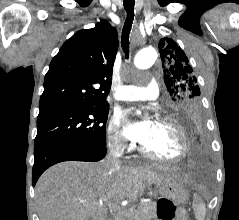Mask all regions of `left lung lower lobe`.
<instances>
[{
	"label": "left lung lower lobe",
	"mask_w": 239,
	"mask_h": 220,
	"mask_svg": "<svg viewBox=\"0 0 239 220\" xmlns=\"http://www.w3.org/2000/svg\"><path fill=\"white\" fill-rule=\"evenodd\" d=\"M176 117L188 133V137L191 144V161L195 164H201L202 150L205 142L201 110H185Z\"/></svg>",
	"instance_id": "1"
}]
</instances>
